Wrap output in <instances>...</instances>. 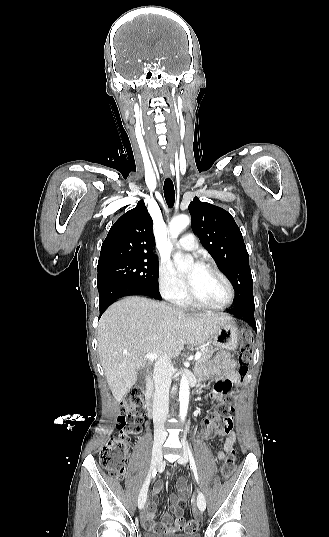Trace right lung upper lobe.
Listing matches in <instances>:
<instances>
[{
    "label": "right lung upper lobe",
    "mask_w": 329,
    "mask_h": 537,
    "mask_svg": "<svg viewBox=\"0 0 329 537\" xmlns=\"http://www.w3.org/2000/svg\"><path fill=\"white\" fill-rule=\"evenodd\" d=\"M153 221L143 201L123 214L104 240L98 264L119 260L157 258L153 249Z\"/></svg>",
    "instance_id": "cb5924a9"
}]
</instances>
